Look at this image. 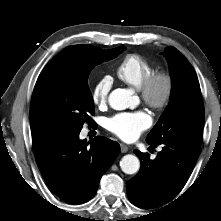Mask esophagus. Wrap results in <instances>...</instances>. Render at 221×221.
Listing matches in <instances>:
<instances>
[{"label": "esophagus", "instance_id": "obj_1", "mask_svg": "<svg viewBox=\"0 0 221 221\" xmlns=\"http://www.w3.org/2000/svg\"><path fill=\"white\" fill-rule=\"evenodd\" d=\"M121 152L126 153L129 150V147L123 143L120 144Z\"/></svg>", "mask_w": 221, "mask_h": 221}]
</instances>
